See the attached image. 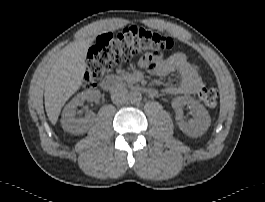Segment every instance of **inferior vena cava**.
Masks as SVG:
<instances>
[{"mask_svg": "<svg viewBox=\"0 0 265 202\" xmlns=\"http://www.w3.org/2000/svg\"><path fill=\"white\" fill-rule=\"evenodd\" d=\"M111 99L114 104H125L129 99L128 90L123 86H117L111 91Z\"/></svg>", "mask_w": 265, "mask_h": 202, "instance_id": "1", "label": "inferior vena cava"}]
</instances>
